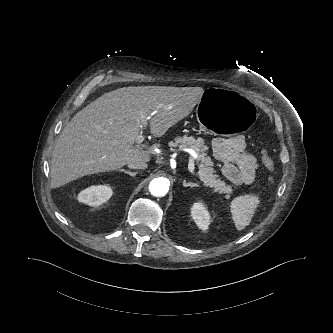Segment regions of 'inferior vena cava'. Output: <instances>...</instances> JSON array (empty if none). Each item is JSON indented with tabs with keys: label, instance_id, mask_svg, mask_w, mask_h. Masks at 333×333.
<instances>
[{
	"label": "inferior vena cava",
	"instance_id": "obj_1",
	"mask_svg": "<svg viewBox=\"0 0 333 333\" xmlns=\"http://www.w3.org/2000/svg\"><path fill=\"white\" fill-rule=\"evenodd\" d=\"M128 167L131 169H146L147 163L142 160H131L128 162Z\"/></svg>",
	"mask_w": 333,
	"mask_h": 333
}]
</instances>
